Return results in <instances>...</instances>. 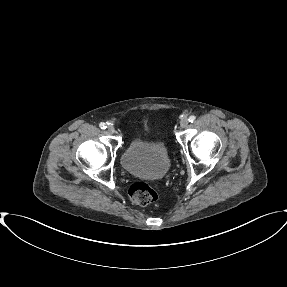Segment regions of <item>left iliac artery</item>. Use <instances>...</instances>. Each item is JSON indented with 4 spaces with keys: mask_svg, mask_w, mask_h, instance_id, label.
Listing matches in <instances>:
<instances>
[{
    "mask_svg": "<svg viewBox=\"0 0 287 287\" xmlns=\"http://www.w3.org/2000/svg\"><path fill=\"white\" fill-rule=\"evenodd\" d=\"M195 119H196V117L194 115H191L188 120H189V122L192 123L195 121Z\"/></svg>",
    "mask_w": 287,
    "mask_h": 287,
    "instance_id": "44dca946",
    "label": "left iliac artery"
}]
</instances>
